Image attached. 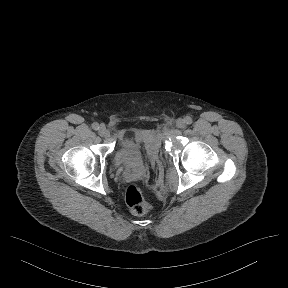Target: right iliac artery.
<instances>
[{
	"label": "right iliac artery",
	"instance_id": "82829eb1",
	"mask_svg": "<svg viewBox=\"0 0 288 288\" xmlns=\"http://www.w3.org/2000/svg\"><path fill=\"white\" fill-rule=\"evenodd\" d=\"M92 128H93L94 130H98V129H99V124H98L97 122H94V123L92 124Z\"/></svg>",
	"mask_w": 288,
	"mask_h": 288
}]
</instances>
